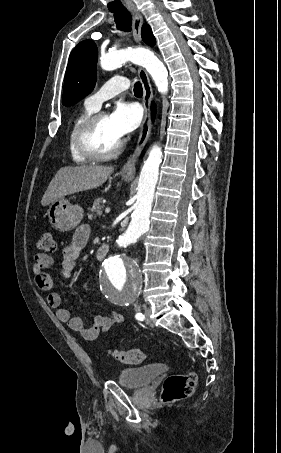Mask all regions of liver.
<instances>
[{
	"label": "liver",
	"instance_id": "6515ba94",
	"mask_svg": "<svg viewBox=\"0 0 281 453\" xmlns=\"http://www.w3.org/2000/svg\"><path fill=\"white\" fill-rule=\"evenodd\" d=\"M112 172H114L113 166H98V164L61 166L45 190L41 204L46 206L53 200L63 198L66 194L97 188L106 182Z\"/></svg>",
	"mask_w": 281,
	"mask_h": 453
}]
</instances>
